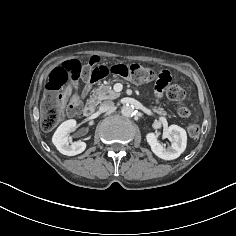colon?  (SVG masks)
<instances>
[{"label": "colon", "mask_w": 236, "mask_h": 236, "mask_svg": "<svg viewBox=\"0 0 236 236\" xmlns=\"http://www.w3.org/2000/svg\"><path fill=\"white\" fill-rule=\"evenodd\" d=\"M110 74L128 78L135 83L156 80L157 92H165L170 100L180 103L177 109L178 115L183 118L191 116L192 110L182 104L186 92L181 86L171 83V75L168 71L157 75L152 68L139 63L92 67V62L89 65H83L79 60L71 59L54 69L49 76L46 84L47 94L43 104L42 128L46 131L52 130L62 120L65 110V94L62 91L69 81L74 82L82 78L88 83H93ZM66 109L70 115L78 114L81 111V103L76 94H73ZM188 134L191 138H197L200 134V126L195 122L191 123L188 126Z\"/></svg>", "instance_id": "5ec220e1"}]
</instances>
